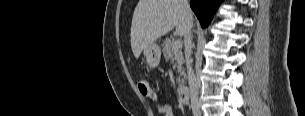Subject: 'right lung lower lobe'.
<instances>
[{
  "label": "right lung lower lobe",
  "instance_id": "right-lung-lower-lobe-1",
  "mask_svg": "<svg viewBox=\"0 0 305 116\" xmlns=\"http://www.w3.org/2000/svg\"><path fill=\"white\" fill-rule=\"evenodd\" d=\"M222 1L223 0H191L190 6L203 28L209 24L213 17V13Z\"/></svg>",
  "mask_w": 305,
  "mask_h": 116
}]
</instances>
